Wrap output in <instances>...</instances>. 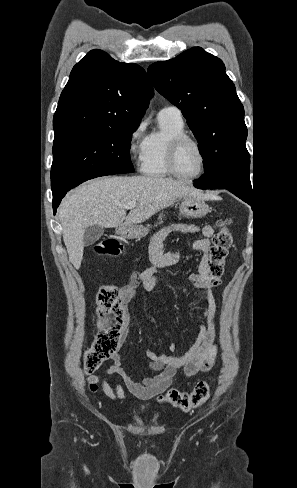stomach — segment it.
<instances>
[{
	"instance_id": "0dacf381",
	"label": "stomach",
	"mask_w": 297,
	"mask_h": 488,
	"mask_svg": "<svg viewBox=\"0 0 297 488\" xmlns=\"http://www.w3.org/2000/svg\"><path fill=\"white\" fill-rule=\"evenodd\" d=\"M209 211L208 204L196 196H185L180 205V214L186 218H202ZM117 233L126 239L142 238L148 234V228L141 225L121 226Z\"/></svg>"
}]
</instances>
